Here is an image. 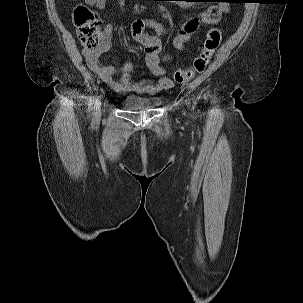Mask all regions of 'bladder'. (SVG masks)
Segmentation results:
<instances>
[{"instance_id": "bladder-1", "label": "bladder", "mask_w": 303, "mask_h": 303, "mask_svg": "<svg viewBox=\"0 0 303 303\" xmlns=\"http://www.w3.org/2000/svg\"><path fill=\"white\" fill-rule=\"evenodd\" d=\"M162 103L158 95L141 96L130 94L123 98L122 108L126 111H144L157 108Z\"/></svg>"}]
</instances>
